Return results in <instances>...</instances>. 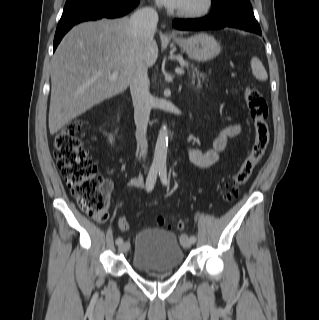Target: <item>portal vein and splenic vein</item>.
I'll use <instances>...</instances> for the list:
<instances>
[{"instance_id": "portal-vein-and-splenic-vein-1", "label": "portal vein and splenic vein", "mask_w": 319, "mask_h": 320, "mask_svg": "<svg viewBox=\"0 0 319 320\" xmlns=\"http://www.w3.org/2000/svg\"><path fill=\"white\" fill-rule=\"evenodd\" d=\"M175 72L176 73H178V74H184V69L183 68H176L175 69ZM117 71H115L110 77H109V79L110 80H113V79H115L116 77H117Z\"/></svg>"}]
</instances>
